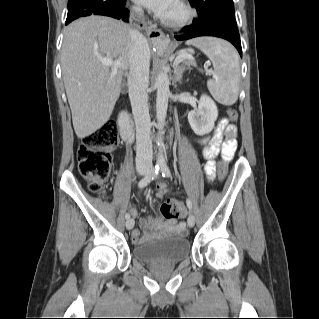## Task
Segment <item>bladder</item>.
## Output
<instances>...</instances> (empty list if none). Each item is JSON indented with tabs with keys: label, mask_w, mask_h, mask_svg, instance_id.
Segmentation results:
<instances>
[{
	"label": "bladder",
	"mask_w": 319,
	"mask_h": 319,
	"mask_svg": "<svg viewBox=\"0 0 319 319\" xmlns=\"http://www.w3.org/2000/svg\"><path fill=\"white\" fill-rule=\"evenodd\" d=\"M191 252L188 239L170 235L160 239L148 240L134 248V255L144 263L166 261L178 263Z\"/></svg>",
	"instance_id": "bladder-1"
}]
</instances>
